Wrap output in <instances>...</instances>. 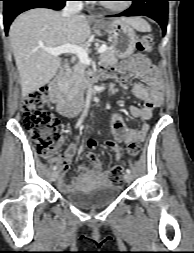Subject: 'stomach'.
<instances>
[{
    "instance_id": "stomach-1",
    "label": "stomach",
    "mask_w": 194,
    "mask_h": 253,
    "mask_svg": "<svg viewBox=\"0 0 194 253\" xmlns=\"http://www.w3.org/2000/svg\"><path fill=\"white\" fill-rule=\"evenodd\" d=\"M96 25L104 27L103 23H97ZM106 31L112 40L117 57L123 59L133 54L137 37L132 26L118 19L109 23L106 26Z\"/></svg>"
}]
</instances>
